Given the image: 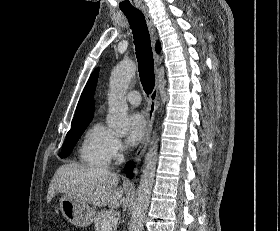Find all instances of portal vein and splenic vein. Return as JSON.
I'll return each instance as SVG.
<instances>
[{
    "label": "portal vein and splenic vein",
    "instance_id": "1",
    "mask_svg": "<svg viewBox=\"0 0 280 231\" xmlns=\"http://www.w3.org/2000/svg\"><path fill=\"white\" fill-rule=\"evenodd\" d=\"M117 223H118L117 217H114V215H112V217H110V219H106V221H104L103 231H110V229H112V227H114V225H117Z\"/></svg>",
    "mask_w": 280,
    "mask_h": 231
}]
</instances>
